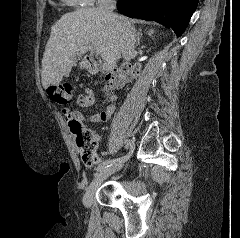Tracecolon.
<instances>
[{
	"mask_svg": "<svg viewBox=\"0 0 240 238\" xmlns=\"http://www.w3.org/2000/svg\"><path fill=\"white\" fill-rule=\"evenodd\" d=\"M137 73L134 68H124L121 71H114L106 76L105 95L111 96L113 91L120 87L126 80ZM49 98L59 104H64L70 100L73 95V87L68 83L51 85L47 88ZM71 133L75 137L76 145L79 149L82 159L87 162H93V155L97 154L98 143L92 130L85 128L82 123L76 119L68 120Z\"/></svg>",
	"mask_w": 240,
	"mask_h": 238,
	"instance_id": "colon-1",
	"label": "colon"
}]
</instances>
